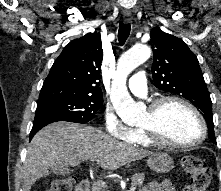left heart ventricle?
<instances>
[{"label": "left heart ventricle", "instance_id": "left-heart-ventricle-1", "mask_svg": "<svg viewBox=\"0 0 221 191\" xmlns=\"http://www.w3.org/2000/svg\"><path fill=\"white\" fill-rule=\"evenodd\" d=\"M152 118L147 111L140 126H148ZM160 131L164 139L175 143L195 141L200 135L196 117L177 103H168L162 109L159 119Z\"/></svg>", "mask_w": 221, "mask_h": 191}]
</instances>
